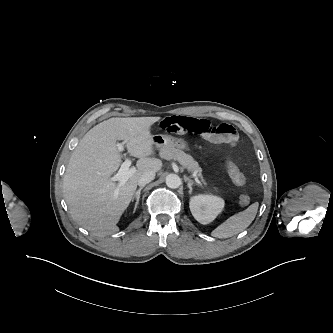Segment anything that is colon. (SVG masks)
Listing matches in <instances>:
<instances>
[{"mask_svg": "<svg viewBox=\"0 0 333 333\" xmlns=\"http://www.w3.org/2000/svg\"><path fill=\"white\" fill-rule=\"evenodd\" d=\"M226 170L231 178V180L239 186L246 184L247 179L245 175L239 170V168L232 162H227ZM239 202L242 206H246L250 203V198L248 195H241Z\"/></svg>", "mask_w": 333, "mask_h": 333, "instance_id": "colon-1", "label": "colon"}]
</instances>
